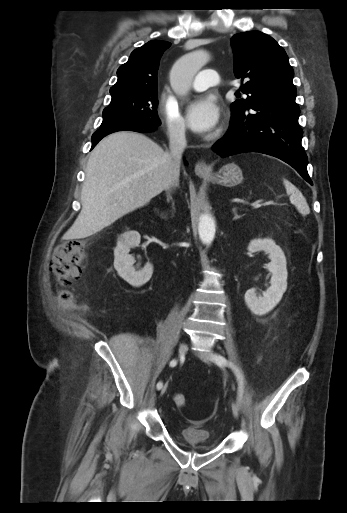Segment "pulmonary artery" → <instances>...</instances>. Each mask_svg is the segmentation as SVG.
<instances>
[{
    "label": "pulmonary artery",
    "instance_id": "1",
    "mask_svg": "<svg viewBox=\"0 0 347 513\" xmlns=\"http://www.w3.org/2000/svg\"><path fill=\"white\" fill-rule=\"evenodd\" d=\"M219 82L220 76L216 70L203 69L196 75L192 83V88L196 91H203L210 86L219 84Z\"/></svg>",
    "mask_w": 347,
    "mask_h": 513
}]
</instances>
